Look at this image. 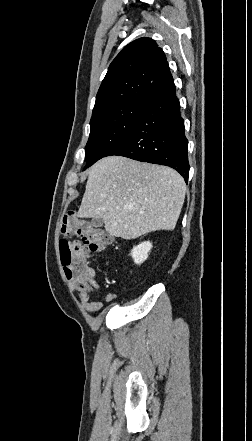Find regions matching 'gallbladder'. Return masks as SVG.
<instances>
[{
  "mask_svg": "<svg viewBox=\"0 0 252 441\" xmlns=\"http://www.w3.org/2000/svg\"><path fill=\"white\" fill-rule=\"evenodd\" d=\"M103 220L101 218H94L91 221V225L94 227H101L103 225Z\"/></svg>",
  "mask_w": 252,
  "mask_h": 441,
  "instance_id": "obj_1",
  "label": "gallbladder"
}]
</instances>
